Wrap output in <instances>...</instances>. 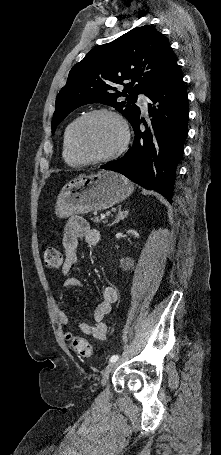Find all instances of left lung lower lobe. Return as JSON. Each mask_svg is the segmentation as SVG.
<instances>
[{"label":"left lung lower lobe","mask_w":221,"mask_h":455,"mask_svg":"<svg viewBox=\"0 0 221 455\" xmlns=\"http://www.w3.org/2000/svg\"><path fill=\"white\" fill-rule=\"evenodd\" d=\"M146 96L150 99L148 113L153 130L139 114L131 124L135 132L132 147L120 159L100 168L121 173L171 202L189 114L187 91L177 62ZM141 123L145 131L140 130Z\"/></svg>","instance_id":"0a47b994"}]
</instances>
